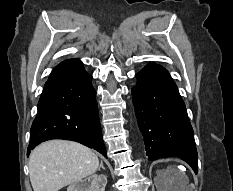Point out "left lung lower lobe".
<instances>
[{"label":"left lung lower lobe","instance_id":"0a47b994","mask_svg":"<svg viewBox=\"0 0 233 191\" xmlns=\"http://www.w3.org/2000/svg\"><path fill=\"white\" fill-rule=\"evenodd\" d=\"M136 78L132 100L148 159L179 157L197 174L193 129L175 82L156 64L145 66Z\"/></svg>","mask_w":233,"mask_h":191}]
</instances>
